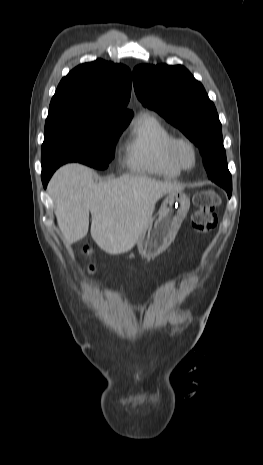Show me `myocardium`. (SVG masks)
Instances as JSON below:
<instances>
[{
    "mask_svg": "<svg viewBox=\"0 0 263 465\" xmlns=\"http://www.w3.org/2000/svg\"><path fill=\"white\" fill-rule=\"evenodd\" d=\"M182 146H187L192 153V162L186 164L180 156V148ZM169 156L175 165H177L181 170H191L193 169L198 161V151L195 143L187 137H173L169 144Z\"/></svg>",
    "mask_w": 263,
    "mask_h": 465,
    "instance_id": "1",
    "label": "myocardium"
}]
</instances>
